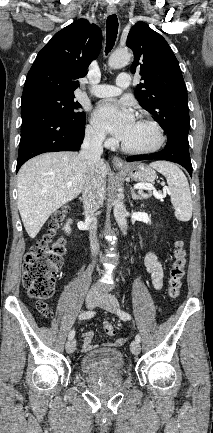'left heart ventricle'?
I'll return each mask as SVG.
<instances>
[{
	"label": "left heart ventricle",
	"instance_id": "left-heart-ventricle-1",
	"mask_svg": "<svg viewBox=\"0 0 213 433\" xmlns=\"http://www.w3.org/2000/svg\"><path fill=\"white\" fill-rule=\"evenodd\" d=\"M156 141L154 130L147 124L137 120L122 142L134 149L147 148Z\"/></svg>",
	"mask_w": 213,
	"mask_h": 433
}]
</instances>
